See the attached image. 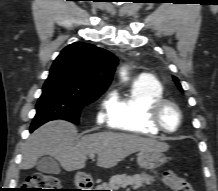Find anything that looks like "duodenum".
Segmentation results:
<instances>
[{
	"label": "duodenum",
	"mask_w": 218,
	"mask_h": 191,
	"mask_svg": "<svg viewBox=\"0 0 218 191\" xmlns=\"http://www.w3.org/2000/svg\"><path fill=\"white\" fill-rule=\"evenodd\" d=\"M75 182L77 187L82 191H88L92 186L90 178L85 174H78L76 176Z\"/></svg>",
	"instance_id": "obj_1"
}]
</instances>
